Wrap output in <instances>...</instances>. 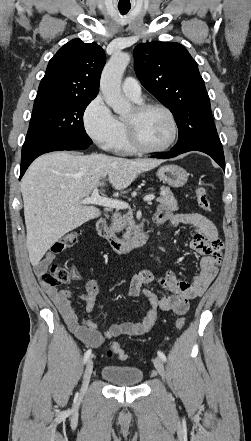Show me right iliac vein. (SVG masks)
Returning a JSON list of instances; mask_svg holds the SVG:
<instances>
[{
	"instance_id": "63e3f726",
	"label": "right iliac vein",
	"mask_w": 251,
	"mask_h": 441,
	"mask_svg": "<svg viewBox=\"0 0 251 441\" xmlns=\"http://www.w3.org/2000/svg\"><path fill=\"white\" fill-rule=\"evenodd\" d=\"M92 372H93V361H92V359H89L86 364L84 376H83V383H82V390H81L82 396L85 394V392L87 390Z\"/></svg>"
}]
</instances>
